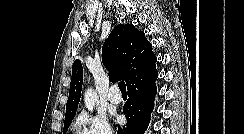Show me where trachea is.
<instances>
[{"mask_svg":"<svg viewBox=\"0 0 244 134\" xmlns=\"http://www.w3.org/2000/svg\"><path fill=\"white\" fill-rule=\"evenodd\" d=\"M118 86H119V89H120L122 94H126L127 93L126 92V84H125L124 81H120Z\"/></svg>","mask_w":244,"mask_h":134,"instance_id":"trachea-1","label":"trachea"}]
</instances>
